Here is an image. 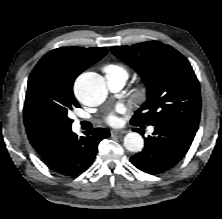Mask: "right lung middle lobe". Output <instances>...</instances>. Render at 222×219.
Here are the masks:
<instances>
[{
    "label": "right lung middle lobe",
    "instance_id": "obj_1",
    "mask_svg": "<svg viewBox=\"0 0 222 219\" xmlns=\"http://www.w3.org/2000/svg\"><path fill=\"white\" fill-rule=\"evenodd\" d=\"M52 76L50 64L35 66L29 77L25 106L38 117L71 126L73 120L68 117V111L79 107V104L73 94L54 89Z\"/></svg>",
    "mask_w": 222,
    "mask_h": 219
}]
</instances>
